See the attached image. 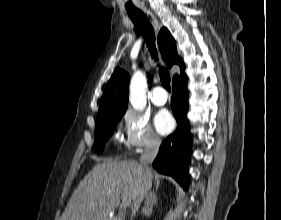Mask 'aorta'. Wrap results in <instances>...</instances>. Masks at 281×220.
Returning <instances> with one entry per match:
<instances>
[{"label": "aorta", "instance_id": "aorta-1", "mask_svg": "<svg viewBox=\"0 0 281 220\" xmlns=\"http://www.w3.org/2000/svg\"><path fill=\"white\" fill-rule=\"evenodd\" d=\"M147 83L144 75L137 71L131 78L129 101L134 109L143 110L147 104Z\"/></svg>", "mask_w": 281, "mask_h": 220}]
</instances>
